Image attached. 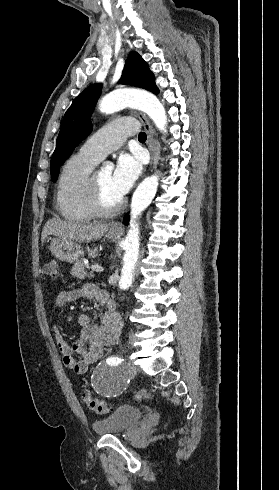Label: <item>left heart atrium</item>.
I'll use <instances>...</instances> for the list:
<instances>
[{
    "label": "left heart atrium",
    "instance_id": "39dd6f15",
    "mask_svg": "<svg viewBox=\"0 0 279 490\" xmlns=\"http://www.w3.org/2000/svg\"><path fill=\"white\" fill-rule=\"evenodd\" d=\"M142 173V164L137 156L124 154L116 162L111 175V186L114 195L122 199L134 186Z\"/></svg>",
    "mask_w": 279,
    "mask_h": 490
}]
</instances>
